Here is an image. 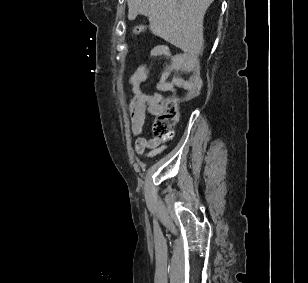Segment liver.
Here are the masks:
<instances>
[{
	"mask_svg": "<svg viewBox=\"0 0 308 283\" xmlns=\"http://www.w3.org/2000/svg\"><path fill=\"white\" fill-rule=\"evenodd\" d=\"M214 0H127L128 19L148 18L151 32L191 55L203 47L204 15Z\"/></svg>",
	"mask_w": 308,
	"mask_h": 283,
	"instance_id": "6515ba94",
	"label": "liver"
}]
</instances>
